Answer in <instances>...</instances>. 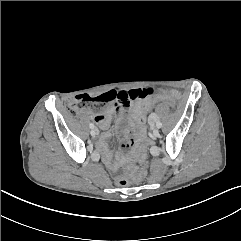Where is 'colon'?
I'll return each instance as SVG.
<instances>
[{
  "mask_svg": "<svg viewBox=\"0 0 241 241\" xmlns=\"http://www.w3.org/2000/svg\"><path fill=\"white\" fill-rule=\"evenodd\" d=\"M128 95L104 93L98 96H89L82 94L71 98L67 103V109L70 114L78 115L82 111L86 110L101 111L107 104L113 103L118 107L119 114L124 116L126 108L129 104ZM161 104H167L171 110L177 109V102L175 98L162 96L151 100L150 103L143 108V114L149 115L150 113H153ZM118 184L125 185L126 180L119 178Z\"/></svg>",
  "mask_w": 241,
  "mask_h": 241,
  "instance_id": "colon-1",
  "label": "colon"
}]
</instances>
